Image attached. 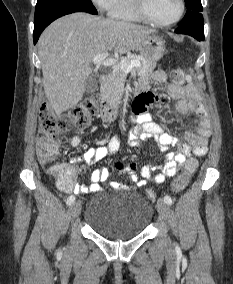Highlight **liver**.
<instances>
[{"label":"liver","instance_id":"liver-1","mask_svg":"<svg viewBox=\"0 0 233 284\" xmlns=\"http://www.w3.org/2000/svg\"><path fill=\"white\" fill-rule=\"evenodd\" d=\"M154 29L87 13H73L49 25L38 41L45 95L59 116L76 106L92 73L93 58L140 47Z\"/></svg>","mask_w":233,"mask_h":284}]
</instances>
